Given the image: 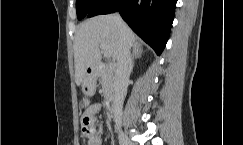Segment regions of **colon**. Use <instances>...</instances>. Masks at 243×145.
Segmentation results:
<instances>
[{
    "label": "colon",
    "mask_w": 243,
    "mask_h": 145,
    "mask_svg": "<svg viewBox=\"0 0 243 145\" xmlns=\"http://www.w3.org/2000/svg\"><path fill=\"white\" fill-rule=\"evenodd\" d=\"M81 131L84 138H87L91 136L94 132V125L92 123V120L89 116H83L82 122H81Z\"/></svg>",
    "instance_id": "1"
}]
</instances>
